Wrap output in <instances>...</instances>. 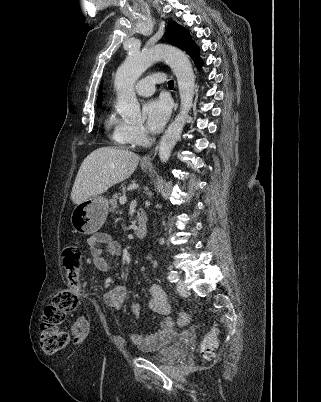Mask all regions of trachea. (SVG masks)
Here are the masks:
<instances>
[{
  "label": "trachea",
  "mask_w": 321,
  "mask_h": 402,
  "mask_svg": "<svg viewBox=\"0 0 321 402\" xmlns=\"http://www.w3.org/2000/svg\"><path fill=\"white\" fill-rule=\"evenodd\" d=\"M168 86L170 88H173L174 87V81L173 80L168 81Z\"/></svg>",
  "instance_id": "trachea-1"
}]
</instances>
